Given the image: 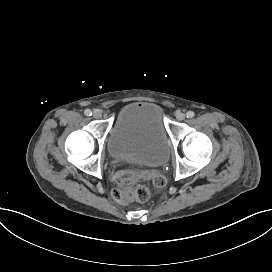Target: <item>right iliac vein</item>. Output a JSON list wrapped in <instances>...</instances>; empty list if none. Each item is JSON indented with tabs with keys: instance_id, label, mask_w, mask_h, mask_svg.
<instances>
[{
	"instance_id": "right-iliac-vein-1",
	"label": "right iliac vein",
	"mask_w": 272,
	"mask_h": 272,
	"mask_svg": "<svg viewBox=\"0 0 272 272\" xmlns=\"http://www.w3.org/2000/svg\"><path fill=\"white\" fill-rule=\"evenodd\" d=\"M93 117L96 118V119H99L102 117V114L100 111L96 110L93 112Z\"/></svg>"
}]
</instances>
